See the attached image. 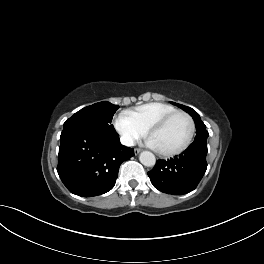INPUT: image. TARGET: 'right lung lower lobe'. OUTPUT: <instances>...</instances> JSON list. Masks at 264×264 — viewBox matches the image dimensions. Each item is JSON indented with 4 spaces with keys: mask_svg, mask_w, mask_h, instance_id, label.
<instances>
[{
    "mask_svg": "<svg viewBox=\"0 0 264 264\" xmlns=\"http://www.w3.org/2000/svg\"><path fill=\"white\" fill-rule=\"evenodd\" d=\"M57 171L67 189L82 197L110 191L121 163L134 150L120 143L116 131L66 127L60 136Z\"/></svg>",
    "mask_w": 264,
    "mask_h": 264,
    "instance_id": "98d812e1",
    "label": "right lung lower lobe"
}]
</instances>
